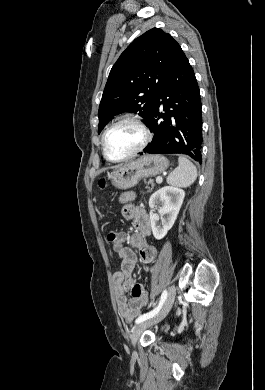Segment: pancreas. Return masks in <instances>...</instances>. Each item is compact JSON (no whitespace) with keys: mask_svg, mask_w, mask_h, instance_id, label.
<instances>
[{"mask_svg":"<svg viewBox=\"0 0 265 390\" xmlns=\"http://www.w3.org/2000/svg\"><path fill=\"white\" fill-rule=\"evenodd\" d=\"M147 183L150 184L152 188L155 186L153 179H150Z\"/></svg>","mask_w":265,"mask_h":390,"instance_id":"1","label":"pancreas"}]
</instances>
